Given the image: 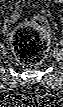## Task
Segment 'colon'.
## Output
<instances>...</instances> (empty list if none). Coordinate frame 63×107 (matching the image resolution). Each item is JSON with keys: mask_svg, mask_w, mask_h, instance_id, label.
Listing matches in <instances>:
<instances>
[{"mask_svg": "<svg viewBox=\"0 0 63 107\" xmlns=\"http://www.w3.org/2000/svg\"><path fill=\"white\" fill-rule=\"evenodd\" d=\"M12 49L16 58L23 64L40 63L49 45V29L42 17H35L30 22L18 27L12 34Z\"/></svg>", "mask_w": 63, "mask_h": 107, "instance_id": "5ec220e1", "label": "colon"}]
</instances>
